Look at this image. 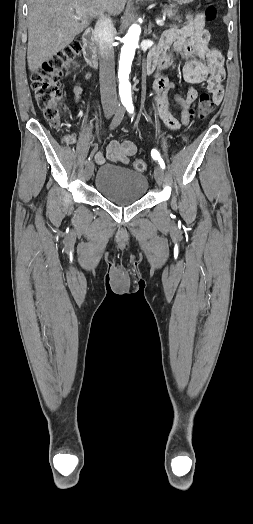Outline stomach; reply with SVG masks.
<instances>
[{
	"mask_svg": "<svg viewBox=\"0 0 253 524\" xmlns=\"http://www.w3.org/2000/svg\"><path fill=\"white\" fill-rule=\"evenodd\" d=\"M174 1L179 4H187V3H191L193 0H174Z\"/></svg>",
	"mask_w": 253,
	"mask_h": 524,
	"instance_id": "1",
	"label": "stomach"
}]
</instances>
